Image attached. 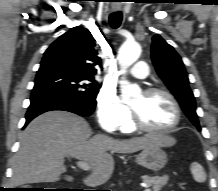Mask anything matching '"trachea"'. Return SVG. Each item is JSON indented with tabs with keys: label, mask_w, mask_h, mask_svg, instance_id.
Wrapping results in <instances>:
<instances>
[{
	"label": "trachea",
	"mask_w": 218,
	"mask_h": 191,
	"mask_svg": "<svg viewBox=\"0 0 218 191\" xmlns=\"http://www.w3.org/2000/svg\"><path fill=\"white\" fill-rule=\"evenodd\" d=\"M121 22H122L121 12H114L110 14L109 23L113 29H117L120 26Z\"/></svg>",
	"instance_id": "3493384b"
}]
</instances>
